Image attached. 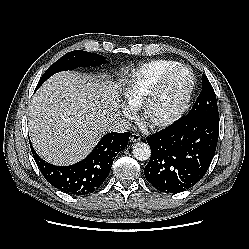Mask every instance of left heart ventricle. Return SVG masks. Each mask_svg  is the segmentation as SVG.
Returning a JSON list of instances; mask_svg holds the SVG:
<instances>
[{
  "label": "left heart ventricle",
  "mask_w": 249,
  "mask_h": 249,
  "mask_svg": "<svg viewBox=\"0 0 249 249\" xmlns=\"http://www.w3.org/2000/svg\"><path fill=\"white\" fill-rule=\"evenodd\" d=\"M190 82L189 72L185 69L176 72L169 80L162 101L156 109V115L162 116L176 107Z\"/></svg>",
  "instance_id": "1"
}]
</instances>
